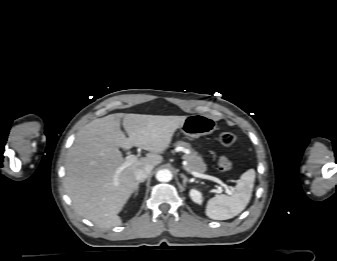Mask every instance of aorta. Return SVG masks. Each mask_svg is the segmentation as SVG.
<instances>
[{
    "mask_svg": "<svg viewBox=\"0 0 337 261\" xmlns=\"http://www.w3.org/2000/svg\"><path fill=\"white\" fill-rule=\"evenodd\" d=\"M156 179L160 182H169L172 179V173L168 169L159 170L156 173Z\"/></svg>",
    "mask_w": 337,
    "mask_h": 261,
    "instance_id": "762f6f07",
    "label": "aorta"
}]
</instances>
